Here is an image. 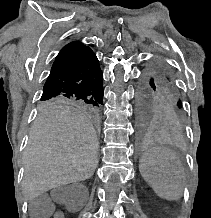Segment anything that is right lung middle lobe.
Masks as SVG:
<instances>
[{
    "label": "right lung middle lobe",
    "instance_id": "obj_1",
    "mask_svg": "<svg viewBox=\"0 0 211 218\" xmlns=\"http://www.w3.org/2000/svg\"><path fill=\"white\" fill-rule=\"evenodd\" d=\"M71 105L82 106L92 113H98L101 104L89 99H80L75 97H63V96L41 98L39 103L40 108L43 110L53 109L60 106H71Z\"/></svg>",
    "mask_w": 211,
    "mask_h": 218
}]
</instances>
